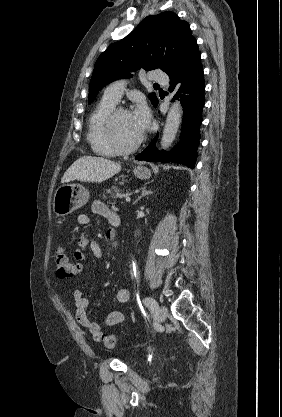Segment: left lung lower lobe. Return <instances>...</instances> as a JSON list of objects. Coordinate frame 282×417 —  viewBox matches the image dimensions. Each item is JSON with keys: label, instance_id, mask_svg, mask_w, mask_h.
<instances>
[{"label": "left lung lower lobe", "instance_id": "obj_1", "mask_svg": "<svg viewBox=\"0 0 282 417\" xmlns=\"http://www.w3.org/2000/svg\"><path fill=\"white\" fill-rule=\"evenodd\" d=\"M166 73L170 78L169 90L172 92L175 87L178 89L173 99L179 97L184 110L181 141L170 152H159L155 146L157 135L135 159L149 162L181 163L193 169L200 140L199 128L202 123V108L205 103V81L201 56L195 39L190 41L177 55Z\"/></svg>", "mask_w": 282, "mask_h": 417}]
</instances>
